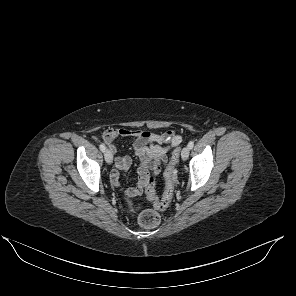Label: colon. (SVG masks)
I'll return each mask as SVG.
<instances>
[{
  "mask_svg": "<svg viewBox=\"0 0 296 296\" xmlns=\"http://www.w3.org/2000/svg\"><path fill=\"white\" fill-rule=\"evenodd\" d=\"M180 154V148H176L171 157V161L164 172L165 177V191L161 199H159L155 192V177L149 174L146 177L144 186L147 197L153 202L155 209L164 210L166 209L172 200L174 185L176 180L175 165L178 162ZM161 222L159 213L155 210H142L138 212V223L144 228H155Z\"/></svg>",
  "mask_w": 296,
  "mask_h": 296,
  "instance_id": "5ec220e1",
  "label": "colon"
}]
</instances>
